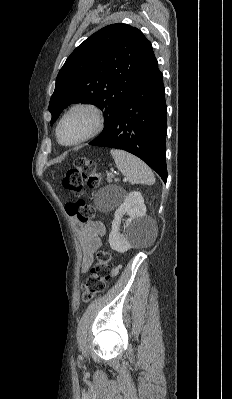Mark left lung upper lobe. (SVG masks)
Instances as JSON below:
<instances>
[{
  "label": "left lung upper lobe",
  "instance_id": "1",
  "mask_svg": "<svg viewBox=\"0 0 232 399\" xmlns=\"http://www.w3.org/2000/svg\"><path fill=\"white\" fill-rule=\"evenodd\" d=\"M151 48L143 33L126 24L108 25L92 34L67 58L56 78L49 103L51 125L71 103H89L103 110L104 135Z\"/></svg>",
  "mask_w": 232,
  "mask_h": 399
}]
</instances>
